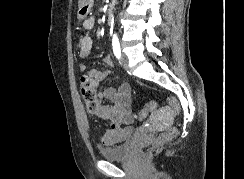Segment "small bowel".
<instances>
[{"label":"small bowel","mask_w":244,"mask_h":179,"mask_svg":"<svg viewBox=\"0 0 244 179\" xmlns=\"http://www.w3.org/2000/svg\"><path fill=\"white\" fill-rule=\"evenodd\" d=\"M94 24L95 19L92 15L90 18H84L83 27L85 30H91ZM92 52V39L87 35L81 36L78 41V56L81 59H85L88 58ZM104 64L107 67H111L113 65L112 58L109 56L105 57ZM86 68V65L83 63L79 65L81 71H85ZM88 74L98 80H104L109 76L108 71L95 68L90 69ZM130 92L131 85L125 83L120 89L110 86L98 93L97 115L110 127L102 137V141L106 145L121 143L131 133L134 118L131 115ZM107 101H109L110 104L106 103Z\"/></svg>","instance_id":"small-bowel-1"}]
</instances>
